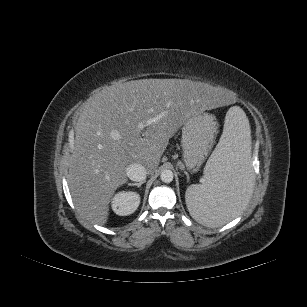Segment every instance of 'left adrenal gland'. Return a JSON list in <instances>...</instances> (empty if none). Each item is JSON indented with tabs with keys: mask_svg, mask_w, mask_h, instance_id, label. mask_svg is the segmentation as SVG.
I'll list each match as a JSON object with an SVG mask.
<instances>
[{
	"mask_svg": "<svg viewBox=\"0 0 307 307\" xmlns=\"http://www.w3.org/2000/svg\"><path fill=\"white\" fill-rule=\"evenodd\" d=\"M186 175H187V178L189 179V176H188V174L186 173Z\"/></svg>",
	"mask_w": 307,
	"mask_h": 307,
	"instance_id": "1",
	"label": "left adrenal gland"
}]
</instances>
